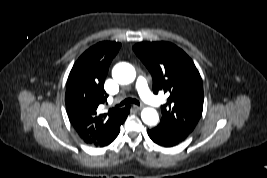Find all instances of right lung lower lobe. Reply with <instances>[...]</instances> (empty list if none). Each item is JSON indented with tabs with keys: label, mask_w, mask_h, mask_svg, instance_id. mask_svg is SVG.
<instances>
[{
	"label": "right lung lower lobe",
	"mask_w": 267,
	"mask_h": 178,
	"mask_svg": "<svg viewBox=\"0 0 267 178\" xmlns=\"http://www.w3.org/2000/svg\"><path fill=\"white\" fill-rule=\"evenodd\" d=\"M130 112V106H126L124 109L123 116L114 124L107 127L102 133H100L96 138L90 139L89 141H85L87 144L96 146V147H104L109 145L111 142L115 140L120 132V126L125 121L126 117Z\"/></svg>",
	"instance_id": "right-lung-lower-lobe-1"
}]
</instances>
